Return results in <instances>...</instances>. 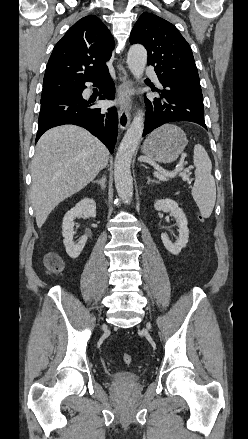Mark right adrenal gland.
Masks as SVG:
<instances>
[{"mask_svg":"<svg viewBox=\"0 0 248 439\" xmlns=\"http://www.w3.org/2000/svg\"><path fill=\"white\" fill-rule=\"evenodd\" d=\"M93 183L99 184L101 189L104 190L106 188V176L103 175V177L100 180L93 181Z\"/></svg>","mask_w":248,"mask_h":439,"instance_id":"1","label":"right adrenal gland"}]
</instances>
